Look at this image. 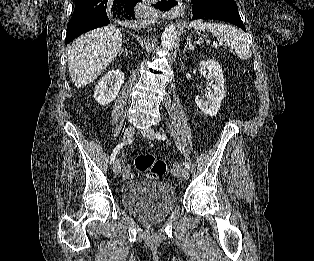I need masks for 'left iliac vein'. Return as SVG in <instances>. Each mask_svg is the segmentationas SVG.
<instances>
[{"mask_svg":"<svg viewBox=\"0 0 314 261\" xmlns=\"http://www.w3.org/2000/svg\"><path fill=\"white\" fill-rule=\"evenodd\" d=\"M143 136L147 139H154V130L152 128H146L143 130L142 132ZM182 177L186 180L189 179L190 174H189V170L187 168H183L182 169Z\"/></svg>","mask_w":314,"mask_h":261,"instance_id":"left-iliac-vein-1","label":"left iliac vein"}]
</instances>
